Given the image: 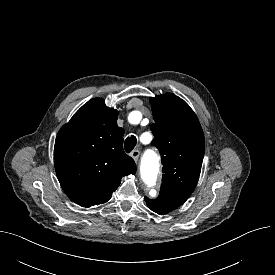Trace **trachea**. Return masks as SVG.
<instances>
[{"label":"trachea","instance_id":"trachea-1","mask_svg":"<svg viewBox=\"0 0 275 275\" xmlns=\"http://www.w3.org/2000/svg\"><path fill=\"white\" fill-rule=\"evenodd\" d=\"M136 143H137V139L135 136L131 135V137H127L124 143L125 151L127 153H130L134 149Z\"/></svg>","mask_w":275,"mask_h":275}]
</instances>
